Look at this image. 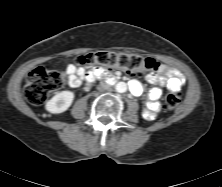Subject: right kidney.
<instances>
[{"label": "right kidney", "mask_w": 222, "mask_h": 187, "mask_svg": "<svg viewBox=\"0 0 222 187\" xmlns=\"http://www.w3.org/2000/svg\"><path fill=\"white\" fill-rule=\"evenodd\" d=\"M74 100L72 91H61L47 101L45 108L48 112L58 114L65 112Z\"/></svg>", "instance_id": "ca27d5eb"}]
</instances>
